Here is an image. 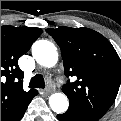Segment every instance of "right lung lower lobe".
<instances>
[{
    "label": "right lung lower lobe",
    "instance_id": "98d812e1",
    "mask_svg": "<svg viewBox=\"0 0 121 121\" xmlns=\"http://www.w3.org/2000/svg\"><path fill=\"white\" fill-rule=\"evenodd\" d=\"M36 95H37V93L34 96H36ZM34 96H32L30 99H28L23 105H21V107L18 110H16L13 114H11L4 121H20L27 109L28 104L30 103V101L32 100V98Z\"/></svg>",
    "mask_w": 121,
    "mask_h": 121
}]
</instances>
